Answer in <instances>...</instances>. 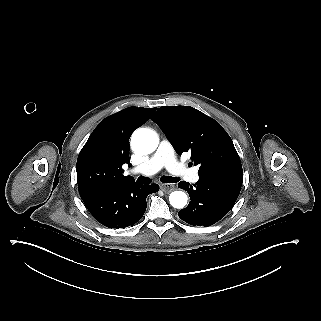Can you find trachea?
<instances>
[{
  "label": "trachea",
  "instance_id": "obj_1",
  "mask_svg": "<svg viewBox=\"0 0 321 321\" xmlns=\"http://www.w3.org/2000/svg\"><path fill=\"white\" fill-rule=\"evenodd\" d=\"M161 181L164 183H176V182L180 181V178L179 177H171V176H162ZM137 183L138 184H150L151 179L144 177V176H140L137 179Z\"/></svg>",
  "mask_w": 321,
  "mask_h": 321
}]
</instances>
